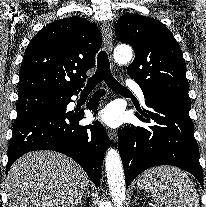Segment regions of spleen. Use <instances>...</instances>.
<instances>
[{
    "mask_svg": "<svg viewBox=\"0 0 206 207\" xmlns=\"http://www.w3.org/2000/svg\"><path fill=\"white\" fill-rule=\"evenodd\" d=\"M140 189L150 192L153 201L166 207H200L199 195L187 174L172 166L145 171L138 179Z\"/></svg>",
    "mask_w": 206,
    "mask_h": 207,
    "instance_id": "obj_1",
    "label": "spleen"
}]
</instances>
